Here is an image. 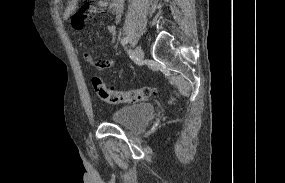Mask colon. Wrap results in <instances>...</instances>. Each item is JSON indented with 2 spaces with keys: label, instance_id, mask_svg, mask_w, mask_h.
Wrapping results in <instances>:
<instances>
[{
  "label": "colon",
  "instance_id": "colon-1",
  "mask_svg": "<svg viewBox=\"0 0 285 183\" xmlns=\"http://www.w3.org/2000/svg\"><path fill=\"white\" fill-rule=\"evenodd\" d=\"M91 83L96 95L109 104L140 102L149 99L154 94V90L150 87H141L128 91L115 90L98 76H93Z\"/></svg>",
  "mask_w": 285,
  "mask_h": 183
}]
</instances>
